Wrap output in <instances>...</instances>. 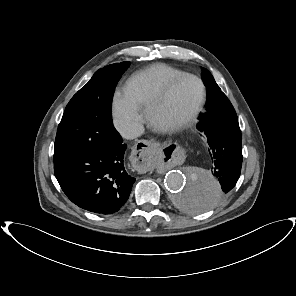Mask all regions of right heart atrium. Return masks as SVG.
<instances>
[{
	"label": "right heart atrium",
	"instance_id": "right-heart-atrium-1",
	"mask_svg": "<svg viewBox=\"0 0 296 296\" xmlns=\"http://www.w3.org/2000/svg\"><path fill=\"white\" fill-rule=\"evenodd\" d=\"M113 116L115 126L126 137L135 135L143 121L141 109L125 91H117L114 95Z\"/></svg>",
	"mask_w": 296,
	"mask_h": 296
}]
</instances>
